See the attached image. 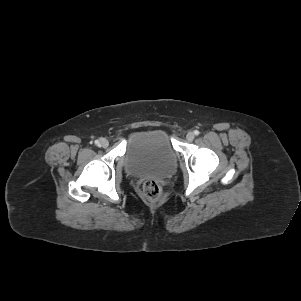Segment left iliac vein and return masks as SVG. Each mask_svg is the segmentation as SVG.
I'll list each match as a JSON object with an SVG mask.
<instances>
[{
  "instance_id": "4c4485c4",
  "label": "left iliac vein",
  "mask_w": 301,
  "mask_h": 301,
  "mask_svg": "<svg viewBox=\"0 0 301 301\" xmlns=\"http://www.w3.org/2000/svg\"><path fill=\"white\" fill-rule=\"evenodd\" d=\"M186 139L188 141H193L194 140V134H193V132H188L187 135H186Z\"/></svg>"
}]
</instances>
